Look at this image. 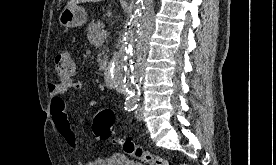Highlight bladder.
Wrapping results in <instances>:
<instances>
[{"mask_svg":"<svg viewBox=\"0 0 276 165\" xmlns=\"http://www.w3.org/2000/svg\"><path fill=\"white\" fill-rule=\"evenodd\" d=\"M112 165H144L139 161L132 160L124 155H119L114 159Z\"/></svg>","mask_w":276,"mask_h":165,"instance_id":"1","label":"bladder"}]
</instances>
